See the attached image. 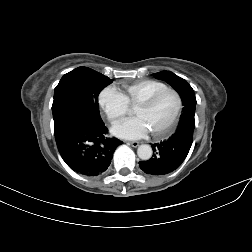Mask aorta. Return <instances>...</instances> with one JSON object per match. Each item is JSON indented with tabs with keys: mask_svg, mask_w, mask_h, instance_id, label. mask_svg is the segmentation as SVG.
I'll return each mask as SVG.
<instances>
[{
	"mask_svg": "<svg viewBox=\"0 0 252 252\" xmlns=\"http://www.w3.org/2000/svg\"><path fill=\"white\" fill-rule=\"evenodd\" d=\"M137 154L142 160H149L152 157L153 151L150 145L142 144L137 149Z\"/></svg>",
	"mask_w": 252,
	"mask_h": 252,
	"instance_id": "obj_1",
	"label": "aorta"
}]
</instances>
